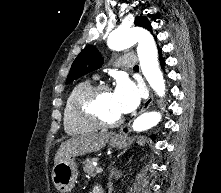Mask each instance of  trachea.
Returning <instances> with one entry per match:
<instances>
[{"label": "trachea", "mask_w": 221, "mask_h": 193, "mask_svg": "<svg viewBox=\"0 0 221 193\" xmlns=\"http://www.w3.org/2000/svg\"><path fill=\"white\" fill-rule=\"evenodd\" d=\"M134 68H138V65H135Z\"/></svg>", "instance_id": "trachea-1"}]
</instances>
